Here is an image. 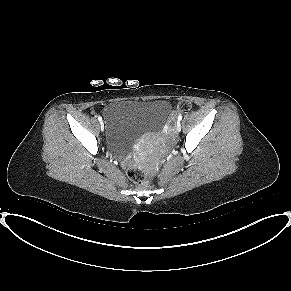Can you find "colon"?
<instances>
[{"label": "colon", "mask_w": 291, "mask_h": 291, "mask_svg": "<svg viewBox=\"0 0 291 291\" xmlns=\"http://www.w3.org/2000/svg\"><path fill=\"white\" fill-rule=\"evenodd\" d=\"M177 110L180 112H187L190 110V103L186 100L181 101L177 105ZM127 176L135 184L143 185L145 184V175L144 173L136 168L130 160H127Z\"/></svg>", "instance_id": "colon-1"}]
</instances>
